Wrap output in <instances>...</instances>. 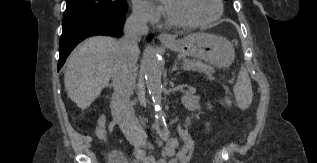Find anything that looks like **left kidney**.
<instances>
[{
    "label": "left kidney",
    "instance_id": "obj_1",
    "mask_svg": "<svg viewBox=\"0 0 317 163\" xmlns=\"http://www.w3.org/2000/svg\"><path fill=\"white\" fill-rule=\"evenodd\" d=\"M207 106L209 109H211V107H212L209 103L207 104ZM206 125L208 126L209 124L207 123Z\"/></svg>",
    "mask_w": 317,
    "mask_h": 163
}]
</instances>
